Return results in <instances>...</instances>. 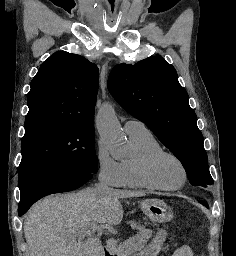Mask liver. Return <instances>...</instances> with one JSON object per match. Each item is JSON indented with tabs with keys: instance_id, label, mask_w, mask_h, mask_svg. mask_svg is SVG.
<instances>
[{
	"instance_id": "6515ba94",
	"label": "liver",
	"mask_w": 236,
	"mask_h": 256,
	"mask_svg": "<svg viewBox=\"0 0 236 256\" xmlns=\"http://www.w3.org/2000/svg\"><path fill=\"white\" fill-rule=\"evenodd\" d=\"M145 196L144 192L112 190L95 194L86 188L76 194H52L36 202L24 220V236L29 256H102L104 248L99 238L80 242L81 228L88 224H120L123 208L120 198ZM116 240H107L114 254Z\"/></svg>"
}]
</instances>
